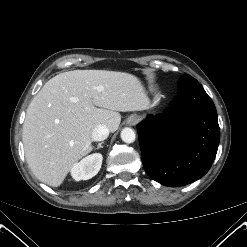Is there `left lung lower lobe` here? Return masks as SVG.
Here are the masks:
<instances>
[{
  "label": "left lung lower lobe",
  "instance_id": "left-lung-lower-lobe-1",
  "mask_svg": "<svg viewBox=\"0 0 247 247\" xmlns=\"http://www.w3.org/2000/svg\"><path fill=\"white\" fill-rule=\"evenodd\" d=\"M147 174L166 186H182L210 169L220 141L217 111L199 82L179 81V95L163 114L137 126Z\"/></svg>",
  "mask_w": 247,
  "mask_h": 247
}]
</instances>
